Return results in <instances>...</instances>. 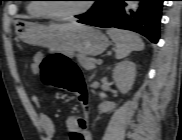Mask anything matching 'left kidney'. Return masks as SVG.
Here are the masks:
<instances>
[{
	"label": "left kidney",
	"instance_id": "obj_1",
	"mask_svg": "<svg viewBox=\"0 0 182 140\" xmlns=\"http://www.w3.org/2000/svg\"><path fill=\"white\" fill-rule=\"evenodd\" d=\"M136 77V65L132 61H123L118 63L113 69L112 78L121 93H127L132 89ZM116 107V103L105 101L99 105L102 113L112 111Z\"/></svg>",
	"mask_w": 182,
	"mask_h": 140
}]
</instances>
